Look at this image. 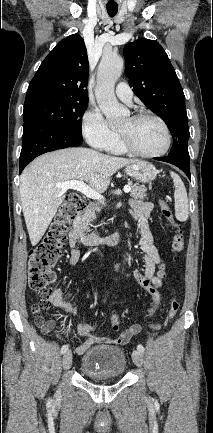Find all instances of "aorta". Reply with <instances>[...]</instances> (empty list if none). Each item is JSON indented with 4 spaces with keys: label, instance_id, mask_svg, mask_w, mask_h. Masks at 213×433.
<instances>
[{
    "label": "aorta",
    "instance_id": "obj_1",
    "mask_svg": "<svg viewBox=\"0 0 213 433\" xmlns=\"http://www.w3.org/2000/svg\"><path fill=\"white\" fill-rule=\"evenodd\" d=\"M123 66L121 57L105 53L98 67L96 100L111 127L119 125L127 113L114 94L115 83L122 74Z\"/></svg>",
    "mask_w": 213,
    "mask_h": 433
}]
</instances>
